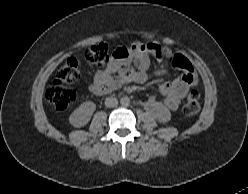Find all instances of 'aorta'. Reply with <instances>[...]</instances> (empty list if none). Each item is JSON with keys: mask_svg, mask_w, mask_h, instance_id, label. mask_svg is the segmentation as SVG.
Returning a JSON list of instances; mask_svg holds the SVG:
<instances>
[{"mask_svg": "<svg viewBox=\"0 0 248 194\" xmlns=\"http://www.w3.org/2000/svg\"><path fill=\"white\" fill-rule=\"evenodd\" d=\"M120 104L124 107H127L130 105V99L127 96H124L120 99Z\"/></svg>", "mask_w": 248, "mask_h": 194, "instance_id": "762f6f07", "label": "aorta"}]
</instances>
